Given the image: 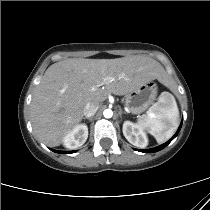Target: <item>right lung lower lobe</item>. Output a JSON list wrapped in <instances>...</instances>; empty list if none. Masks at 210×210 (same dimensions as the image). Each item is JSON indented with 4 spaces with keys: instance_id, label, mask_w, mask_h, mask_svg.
Returning <instances> with one entry per match:
<instances>
[{
    "instance_id": "obj_1",
    "label": "right lung lower lobe",
    "mask_w": 210,
    "mask_h": 210,
    "mask_svg": "<svg viewBox=\"0 0 210 210\" xmlns=\"http://www.w3.org/2000/svg\"><path fill=\"white\" fill-rule=\"evenodd\" d=\"M54 152H57V153H74L76 151H56V150H52Z\"/></svg>"
}]
</instances>
